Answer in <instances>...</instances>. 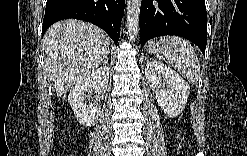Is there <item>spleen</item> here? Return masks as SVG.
I'll use <instances>...</instances> for the list:
<instances>
[{"label":"spleen","mask_w":247,"mask_h":156,"mask_svg":"<svg viewBox=\"0 0 247 156\" xmlns=\"http://www.w3.org/2000/svg\"><path fill=\"white\" fill-rule=\"evenodd\" d=\"M161 56L164 57L189 83L196 84L199 80L200 65L191 44L178 36L160 38Z\"/></svg>","instance_id":"spleen-1"}]
</instances>
